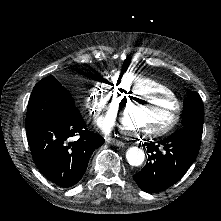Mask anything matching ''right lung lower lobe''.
I'll list each match as a JSON object with an SVG mask.
<instances>
[{"label":"right lung lower lobe","mask_w":221,"mask_h":221,"mask_svg":"<svg viewBox=\"0 0 221 221\" xmlns=\"http://www.w3.org/2000/svg\"><path fill=\"white\" fill-rule=\"evenodd\" d=\"M75 136L79 138L69 142ZM27 138L37 168L63 188L82 178L93 151L104 143V138L86 129L81 114L70 120L37 124L27 130Z\"/></svg>","instance_id":"right-lung-lower-lobe-1"}]
</instances>
